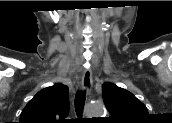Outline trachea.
Here are the masks:
<instances>
[{
    "mask_svg": "<svg viewBox=\"0 0 172 123\" xmlns=\"http://www.w3.org/2000/svg\"><path fill=\"white\" fill-rule=\"evenodd\" d=\"M86 92H77L75 96V111L78 117L81 116L83 112V107L85 105ZM81 119V118H79Z\"/></svg>",
    "mask_w": 172,
    "mask_h": 123,
    "instance_id": "1",
    "label": "trachea"
}]
</instances>
